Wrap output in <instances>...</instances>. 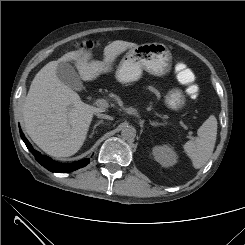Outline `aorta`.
I'll list each match as a JSON object with an SVG mask.
<instances>
[{
    "instance_id": "762f6f07",
    "label": "aorta",
    "mask_w": 245,
    "mask_h": 245,
    "mask_svg": "<svg viewBox=\"0 0 245 245\" xmlns=\"http://www.w3.org/2000/svg\"><path fill=\"white\" fill-rule=\"evenodd\" d=\"M121 136L125 140H132L136 136V129L132 125H125L121 130Z\"/></svg>"
}]
</instances>
